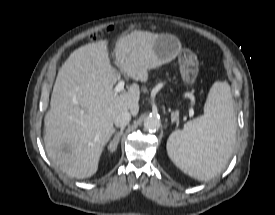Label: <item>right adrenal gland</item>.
<instances>
[{"label":"right adrenal gland","mask_w":275,"mask_h":215,"mask_svg":"<svg viewBox=\"0 0 275 215\" xmlns=\"http://www.w3.org/2000/svg\"><path fill=\"white\" fill-rule=\"evenodd\" d=\"M123 130L124 128H121L120 132L115 134L113 141H111L110 144L108 145V150L110 152H114L116 150L120 137L123 134Z\"/></svg>","instance_id":"1"}]
</instances>
